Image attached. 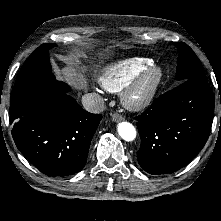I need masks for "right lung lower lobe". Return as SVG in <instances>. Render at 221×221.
Segmentation results:
<instances>
[{"label":"right lung lower lobe","instance_id":"right-lung-lower-lobe-1","mask_svg":"<svg viewBox=\"0 0 221 221\" xmlns=\"http://www.w3.org/2000/svg\"><path fill=\"white\" fill-rule=\"evenodd\" d=\"M70 87L55 78L37 81L11 95L14 142L42 173L68 176L80 171L102 119L67 94Z\"/></svg>","mask_w":221,"mask_h":221}]
</instances>
